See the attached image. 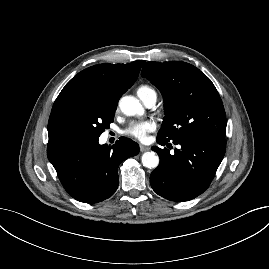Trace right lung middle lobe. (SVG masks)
<instances>
[{
    "label": "right lung middle lobe",
    "instance_id": "right-lung-middle-lobe-1",
    "mask_svg": "<svg viewBox=\"0 0 269 269\" xmlns=\"http://www.w3.org/2000/svg\"><path fill=\"white\" fill-rule=\"evenodd\" d=\"M116 105L91 96H71L61 109L64 128L73 141L98 139L114 120Z\"/></svg>",
    "mask_w": 269,
    "mask_h": 269
}]
</instances>
